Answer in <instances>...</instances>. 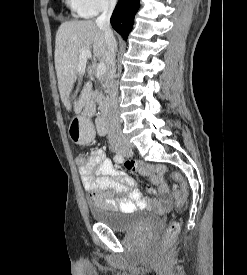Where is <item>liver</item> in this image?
Wrapping results in <instances>:
<instances>
[{"label": "liver", "mask_w": 247, "mask_h": 275, "mask_svg": "<svg viewBox=\"0 0 247 275\" xmlns=\"http://www.w3.org/2000/svg\"><path fill=\"white\" fill-rule=\"evenodd\" d=\"M82 50L91 51L93 57L105 64L108 71L107 45L103 30L91 20L63 22L56 33L55 69L61 100L68 111L73 107L75 114L81 112L92 89V83L87 81L79 97L77 99L72 97L74 100H71V93L78 76L85 73V70L83 72L78 70Z\"/></svg>", "instance_id": "6515ba94"}]
</instances>
